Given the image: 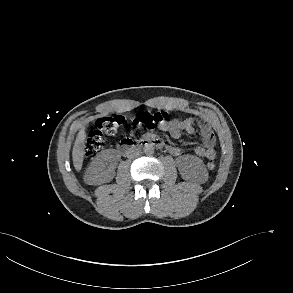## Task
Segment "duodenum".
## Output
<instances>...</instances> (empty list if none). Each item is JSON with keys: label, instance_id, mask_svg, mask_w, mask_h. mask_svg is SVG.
<instances>
[{"label": "duodenum", "instance_id": "obj_1", "mask_svg": "<svg viewBox=\"0 0 293 293\" xmlns=\"http://www.w3.org/2000/svg\"><path fill=\"white\" fill-rule=\"evenodd\" d=\"M164 143L157 138L146 137L140 141H135L132 139H123L118 143L117 149L119 153L123 156H129L138 149L144 147H157L162 148Z\"/></svg>", "mask_w": 293, "mask_h": 293}]
</instances>
